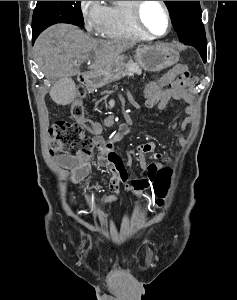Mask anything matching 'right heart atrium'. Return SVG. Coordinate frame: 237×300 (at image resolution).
Listing matches in <instances>:
<instances>
[{"instance_id":"d8ad5b80","label":"right heart atrium","mask_w":237,"mask_h":300,"mask_svg":"<svg viewBox=\"0 0 237 300\" xmlns=\"http://www.w3.org/2000/svg\"><path fill=\"white\" fill-rule=\"evenodd\" d=\"M85 27L93 33H101L105 27L107 6L102 1H79Z\"/></svg>"}]
</instances>
